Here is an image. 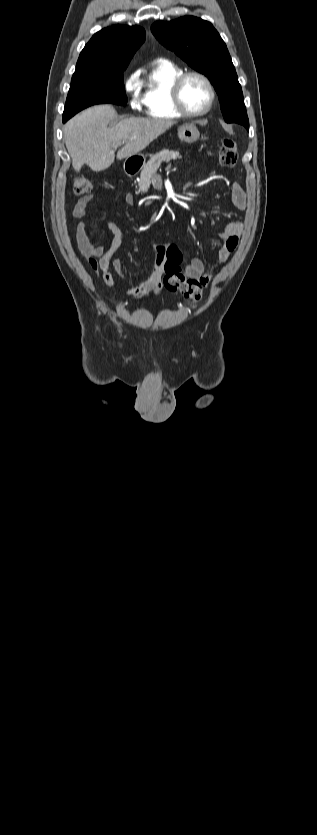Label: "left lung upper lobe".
Wrapping results in <instances>:
<instances>
[{
  "mask_svg": "<svg viewBox=\"0 0 317 835\" xmlns=\"http://www.w3.org/2000/svg\"><path fill=\"white\" fill-rule=\"evenodd\" d=\"M151 30L167 49L210 79L219 96L225 121L239 123L249 130L235 67L226 44L213 25L197 17L184 16L170 22L157 21Z\"/></svg>",
  "mask_w": 317,
  "mask_h": 835,
  "instance_id": "1",
  "label": "left lung upper lobe"
}]
</instances>
